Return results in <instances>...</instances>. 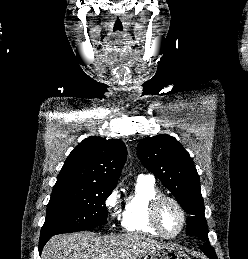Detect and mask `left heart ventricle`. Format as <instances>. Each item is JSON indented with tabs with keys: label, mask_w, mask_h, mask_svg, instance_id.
Segmentation results:
<instances>
[{
	"label": "left heart ventricle",
	"mask_w": 248,
	"mask_h": 259,
	"mask_svg": "<svg viewBox=\"0 0 248 259\" xmlns=\"http://www.w3.org/2000/svg\"><path fill=\"white\" fill-rule=\"evenodd\" d=\"M159 220L163 230L167 234H175L181 226V214L177 207L169 202H164L159 211Z\"/></svg>",
	"instance_id": "obj_1"
}]
</instances>
